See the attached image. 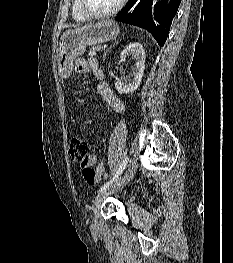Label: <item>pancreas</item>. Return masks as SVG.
<instances>
[{
    "label": "pancreas",
    "instance_id": "1",
    "mask_svg": "<svg viewBox=\"0 0 233 263\" xmlns=\"http://www.w3.org/2000/svg\"><path fill=\"white\" fill-rule=\"evenodd\" d=\"M99 49H101V46H96V47H93L92 49H91V51H96V50H99Z\"/></svg>",
    "mask_w": 233,
    "mask_h": 263
}]
</instances>
